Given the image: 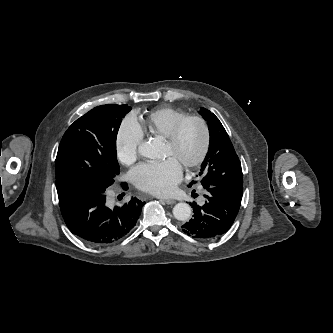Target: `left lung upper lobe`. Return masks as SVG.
<instances>
[{"label": "left lung upper lobe", "instance_id": "obj_1", "mask_svg": "<svg viewBox=\"0 0 333 333\" xmlns=\"http://www.w3.org/2000/svg\"><path fill=\"white\" fill-rule=\"evenodd\" d=\"M200 114L207 121L210 133L209 150L200 169L202 185L243 186L241 163L219 119L205 108Z\"/></svg>", "mask_w": 333, "mask_h": 333}]
</instances>
